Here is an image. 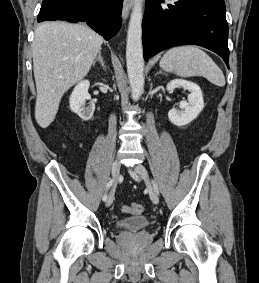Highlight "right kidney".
I'll return each instance as SVG.
<instances>
[{
  "label": "right kidney",
  "instance_id": "right-kidney-1",
  "mask_svg": "<svg viewBox=\"0 0 259 283\" xmlns=\"http://www.w3.org/2000/svg\"><path fill=\"white\" fill-rule=\"evenodd\" d=\"M89 85L88 80L78 83L69 99L70 109L84 121L90 120L95 111V104L91 101V96L88 93ZM87 100L90 102L86 106Z\"/></svg>",
  "mask_w": 259,
  "mask_h": 283
}]
</instances>
